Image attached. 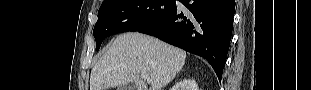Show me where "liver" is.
<instances>
[{"instance_id":"obj_1","label":"liver","mask_w":311,"mask_h":90,"mask_svg":"<svg viewBox=\"0 0 311 90\" xmlns=\"http://www.w3.org/2000/svg\"><path fill=\"white\" fill-rule=\"evenodd\" d=\"M186 60V52L157 38L138 32L118 36L107 52L94 65L90 90L134 83L137 90H162L178 74Z\"/></svg>"}]
</instances>
